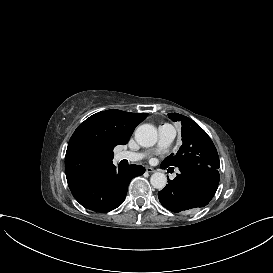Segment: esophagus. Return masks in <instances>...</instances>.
<instances>
[{
  "mask_svg": "<svg viewBox=\"0 0 273 273\" xmlns=\"http://www.w3.org/2000/svg\"><path fill=\"white\" fill-rule=\"evenodd\" d=\"M146 172H148V173H153V172H155V169H153V168H151V167H147V168H146Z\"/></svg>",
  "mask_w": 273,
  "mask_h": 273,
  "instance_id": "1",
  "label": "esophagus"
}]
</instances>
